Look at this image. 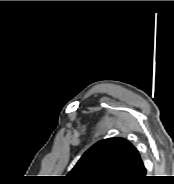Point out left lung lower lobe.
Here are the masks:
<instances>
[{"label":"left lung lower lobe","instance_id":"obj_1","mask_svg":"<svg viewBox=\"0 0 174 184\" xmlns=\"http://www.w3.org/2000/svg\"><path fill=\"white\" fill-rule=\"evenodd\" d=\"M146 169L143 165V162L139 156L134 171H133V176L131 180L127 184H143L144 181L146 180Z\"/></svg>","mask_w":174,"mask_h":184}]
</instances>
